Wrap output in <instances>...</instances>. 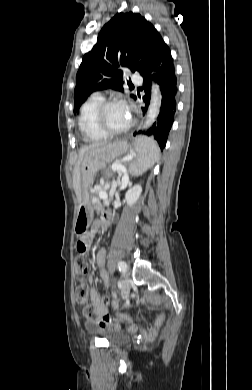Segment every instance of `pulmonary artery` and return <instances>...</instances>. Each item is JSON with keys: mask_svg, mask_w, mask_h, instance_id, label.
I'll list each match as a JSON object with an SVG mask.
<instances>
[{"mask_svg": "<svg viewBox=\"0 0 252 390\" xmlns=\"http://www.w3.org/2000/svg\"><path fill=\"white\" fill-rule=\"evenodd\" d=\"M141 80L140 76L138 75H133L132 76V81L134 82H139ZM96 95H99L98 93H96Z\"/></svg>", "mask_w": 252, "mask_h": 390, "instance_id": "pulmonary-artery-1", "label": "pulmonary artery"}]
</instances>
